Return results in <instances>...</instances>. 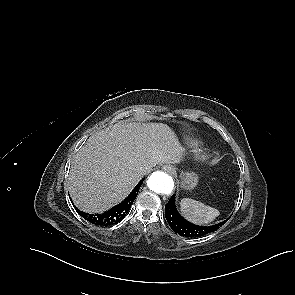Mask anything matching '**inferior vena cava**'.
Returning <instances> with one entry per match:
<instances>
[{"label":"inferior vena cava","mask_w":295,"mask_h":295,"mask_svg":"<svg viewBox=\"0 0 295 295\" xmlns=\"http://www.w3.org/2000/svg\"><path fill=\"white\" fill-rule=\"evenodd\" d=\"M148 172H150V170L143 171L144 174H147Z\"/></svg>","instance_id":"inferior-vena-cava-1"}]
</instances>
